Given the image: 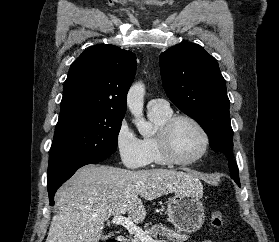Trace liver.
Instances as JSON below:
<instances>
[{
    "label": "liver",
    "instance_id": "obj_1",
    "mask_svg": "<svg viewBox=\"0 0 279 242\" xmlns=\"http://www.w3.org/2000/svg\"><path fill=\"white\" fill-rule=\"evenodd\" d=\"M172 192L202 193L199 179L168 169L131 171L104 165L80 168L55 195L46 242H98L110 216H128L140 223L146 216L141 198L153 200Z\"/></svg>",
    "mask_w": 279,
    "mask_h": 242
}]
</instances>
